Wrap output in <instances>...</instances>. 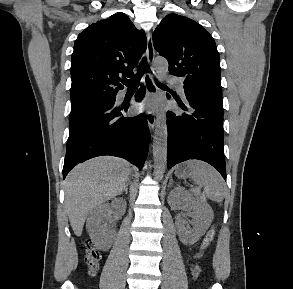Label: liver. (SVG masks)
<instances>
[{
    "instance_id": "6515ba94",
    "label": "liver",
    "mask_w": 293,
    "mask_h": 289,
    "mask_svg": "<svg viewBox=\"0 0 293 289\" xmlns=\"http://www.w3.org/2000/svg\"><path fill=\"white\" fill-rule=\"evenodd\" d=\"M136 169L127 161L110 156L77 165L65 180V208L76 236H81L88 214L119 195Z\"/></svg>"
}]
</instances>
